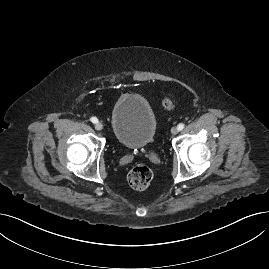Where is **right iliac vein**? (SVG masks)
<instances>
[{"mask_svg":"<svg viewBox=\"0 0 269 269\" xmlns=\"http://www.w3.org/2000/svg\"><path fill=\"white\" fill-rule=\"evenodd\" d=\"M95 129L98 130V131H101L103 129V125L100 122H97L95 124Z\"/></svg>","mask_w":269,"mask_h":269,"instance_id":"63e3f726","label":"right iliac vein"}]
</instances>
